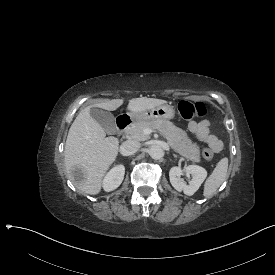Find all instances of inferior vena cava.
Wrapping results in <instances>:
<instances>
[{"label": "inferior vena cava", "instance_id": "1", "mask_svg": "<svg viewBox=\"0 0 275 275\" xmlns=\"http://www.w3.org/2000/svg\"><path fill=\"white\" fill-rule=\"evenodd\" d=\"M140 148V143L135 140H127L122 143L120 151L122 155L129 156L135 154Z\"/></svg>", "mask_w": 275, "mask_h": 275}]
</instances>
